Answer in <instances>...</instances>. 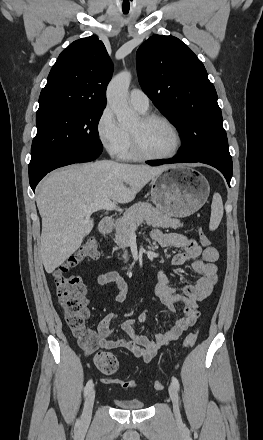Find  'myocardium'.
Masks as SVG:
<instances>
[{
  "instance_id": "obj_1",
  "label": "myocardium",
  "mask_w": 263,
  "mask_h": 440,
  "mask_svg": "<svg viewBox=\"0 0 263 440\" xmlns=\"http://www.w3.org/2000/svg\"><path fill=\"white\" fill-rule=\"evenodd\" d=\"M140 120L144 124H147V123H150L153 121H161V122L165 123L174 134L175 146H174L173 150L167 154H161V155L150 154L143 149L136 134L134 132H132L131 130H129L131 149H132V152L135 155V157L140 158V159H144V160H167V159H171V158L175 157L179 153V151L181 150L182 144H183L182 135H181L179 129L177 128V126L168 117L161 115V114H156V113H146V114H142L140 116Z\"/></svg>"
}]
</instances>
